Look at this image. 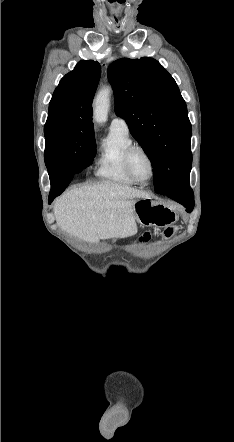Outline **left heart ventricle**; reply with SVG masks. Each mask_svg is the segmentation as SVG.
Returning <instances> with one entry per match:
<instances>
[{"instance_id":"left-heart-ventricle-1","label":"left heart ventricle","mask_w":234,"mask_h":442,"mask_svg":"<svg viewBox=\"0 0 234 442\" xmlns=\"http://www.w3.org/2000/svg\"><path fill=\"white\" fill-rule=\"evenodd\" d=\"M131 167L135 176L146 182L151 174V167L146 155L141 151H135L131 157Z\"/></svg>"}]
</instances>
